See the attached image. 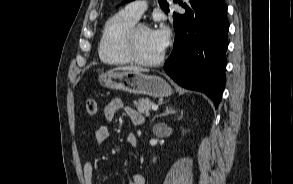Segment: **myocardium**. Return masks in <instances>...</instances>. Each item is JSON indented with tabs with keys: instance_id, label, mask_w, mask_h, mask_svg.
<instances>
[{
	"instance_id": "myocardium-1",
	"label": "myocardium",
	"mask_w": 293,
	"mask_h": 184,
	"mask_svg": "<svg viewBox=\"0 0 293 184\" xmlns=\"http://www.w3.org/2000/svg\"><path fill=\"white\" fill-rule=\"evenodd\" d=\"M140 29H150L149 26L145 23L139 22L132 25L129 30L126 33L125 41H124V48L127 56L131 60V62H134L136 64L142 65V66H155L162 62L164 59V51L160 53L159 56H157L154 59L151 60H145L139 57V55L136 52L135 48V37L137 32Z\"/></svg>"
}]
</instances>
